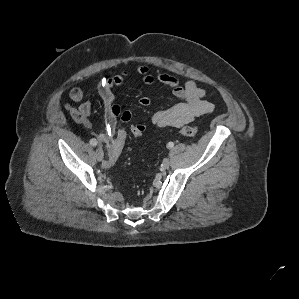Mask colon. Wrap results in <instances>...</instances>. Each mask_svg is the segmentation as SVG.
I'll use <instances>...</instances> for the list:
<instances>
[{"mask_svg":"<svg viewBox=\"0 0 299 299\" xmlns=\"http://www.w3.org/2000/svg\"><path fill=\"white\" fill-rule=\"evenodd\" d=\"M67 110L76 122L84 124L88 121L89 113L85 108L81 106H67ZM144 132L145 129L137 123L117 128L107 143V158L104 162V166L110 168L115 164L121 155L129 136L138 138L141 137ZM179 133L184 137H195L198 133V129L195 126L184 125L179 130Z\"/></svg>","mask_w":299,"mask_h":299,"instance_id":"5ec220e1","label":"colon"}]
</instances>
